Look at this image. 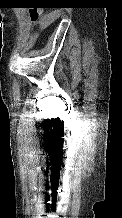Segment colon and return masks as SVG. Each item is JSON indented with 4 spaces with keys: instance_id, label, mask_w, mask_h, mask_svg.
Returning <instances> with one entry per match:
<instances>
[{
    "instance_id": "1",
    "label": "colon",
    "mask_w": 122,
    "mask_h": 218,
    "mask_svg": "<svg viewBox=\"0 0 122 218\" xmlns=\"http://www.w3.org/2000/svg\"><path fill=\"white\" fill-rule=\"evenodd\" d=\"M38 17H39V13L38 12L34 11V12L31 13L32 20L35 21V20L38 19Z\"/></svg>"
}]
</instances>
